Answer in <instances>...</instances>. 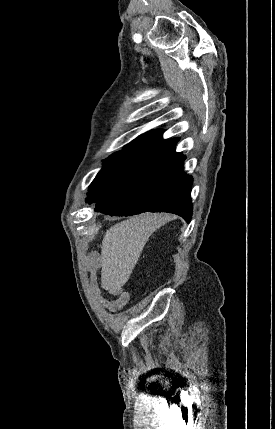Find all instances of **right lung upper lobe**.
Returning a JSON list of instances; mask_svg holds the SVG:
<instances>
[{
	"label": "right lung upper lobe",
	"instance_id": "right-lung-upper-lobe-1",
	"mask_svg": "<svg viewBox=\"0 0 275 429\" xmlns=\"http://www.w3.org/2000/svg\"><path fill=\"white\" fill-rule=\"evenodd\" d=\"M162 130H156L142 134L124 147V152L133 156L146 157L153 159L175 146L178 138L163 140L161 137Z\"/></svg>",
	"mask_w": 275,
	"mask_h": 429
}]
</instances>
